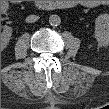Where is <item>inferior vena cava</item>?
<instances>
[{
    "label": "inferior vena cava",
    "mask_w": 109,
    "mask_h": 109,
    "mask_svg": "<svg viewBox=\"0 0 109 109\" xmlns=\"http://www.w3.org/2000/svg\"><path fill=\"white\" fill-rule=\"evenodd\" d=\"M38 19H39V16H37V15H29V16H27V18H26V22H27V23H34V22H36Z\"/></svg>",
    "instance_id": "inferior-vena-cava-1"
}]
</instances>
